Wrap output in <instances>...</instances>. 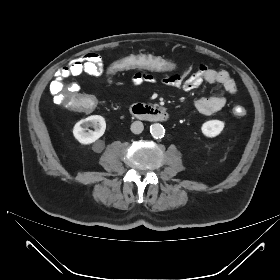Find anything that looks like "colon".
I'll return each mask as SVG.
<instances>
[{
  "label": "colon",
  "mask_w": 280,
  "mask_h": 280,
  "mask_svg": "<svg viewBox=\"0 0 280 280\" xmlns=\"http://www.w3.org/2000/svg\"><path fill=\"white\" fill-rule=\"evenodd\" d=\"M139 69L143 73L163 72L170 76H176L182 71L183 66L180 62L166 57L147 54H129L112 61L110 65L106 66L103 70L104 79L107 83L112 84L124 70L136 73ZM68 73V69L62 68L50 86L54 103L62 106L71 113H88L96 109L99 105L98 98L91 94L78 96L81 91V86L78 82L71 80L61 82L60 76H66ZM233 112L236 116L241 117L245 115L246 110L242 106H236Z\"/></svg>",
  "instance_id": "obj_1"
}]
</instances>
